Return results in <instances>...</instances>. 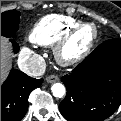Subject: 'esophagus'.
<instances>
[{
  "instance_id": "34e87169",
  "label": "esophagus",
  "mask_w": 121,
  "mask_h": 121,
  "mask_svg": "<svg viewBox=\"0 0 121 121\" xmlns=\"http://www.w3.org/2000/svg\"><path fill=\"white\" fill-rule=\"evenodd\" d=\"M58 80H59V77L56 75H50L46 78V81L48 83H54V82H57Z\"/></svg>"
}]
</instances>
